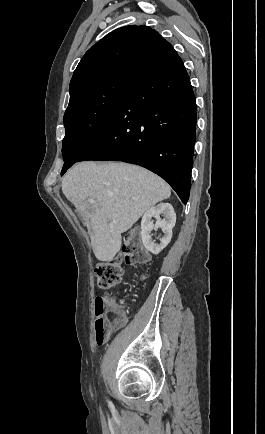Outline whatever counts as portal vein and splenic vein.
<instances>
[{
    "mask_svg": "<svg viewBox=\"0 0 265 434\" xmlns=\"http://www.w3.org/2000/svg\"><path fill=\"white\" fill-rule=\"evenodd\" d=\"M87 202H90V204H95V200H87Z\"/></svg>",
    "mask_w": 265,
    "mask_h": 434,
    "instance_id": "portal-vein-and-splenic-vein-1",
    "label": "portal vein and splenic vein"
}]
</instances>
